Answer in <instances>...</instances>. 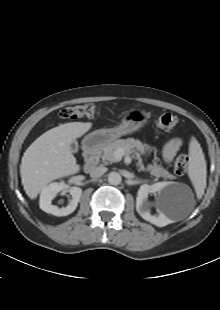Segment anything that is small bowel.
Here are the masks:
<instances>
[{"mask_svg": "<svg viewBox=\"0 0 220 310\" xmlns=\"http://www.w3.org/2000/svg\"><path fill=\"white\" fill-rule=\"evenodd\" d=\"M184 141L180 137L171 138L163 148V158L166 162H171L179 150L182 148Z\"/></svg>", "mask_w": 220, "mask_h": 310, "instance_id": "1", "label": "small bowel"}]
</instances>
